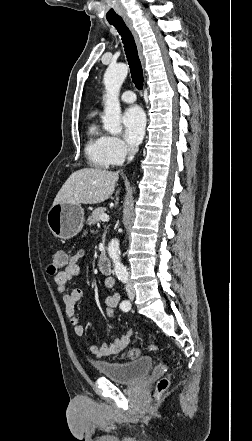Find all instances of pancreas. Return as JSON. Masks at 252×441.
<instances>
[{"label": "pancreas", "instance_id": "pancreas-1", "mask_svg": "<svg viewBox=\"0 0 252 441\" xmlns=\"http://www.w3.org/2000/svg\"><path fill=\"white\" fill-rule=\"evenodd\" d=\"M105 211H106V208H104V207H99V208H96L93 212H92V214H91V216L89 217V221L90 222H92V223H99L100 222V216L102 215V214H105Z\"/></svg>", "mask_w": 252, "mask_h": 441}]
</instances>
